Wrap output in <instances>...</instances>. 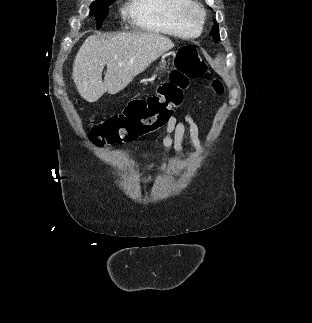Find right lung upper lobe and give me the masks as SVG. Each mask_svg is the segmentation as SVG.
I'll return each mask as SVG.
<instances>
[{
  "label": "right lung upper lobe",
  "instance_id": "cb5924a9",
  "mask_svg": "<svg viewBox=\"0 0 312 323\" xmlns=\"http://www.w3.org/2000/svg\"><path fill=\"white\" fill-rule=\"evenodd\" d=\"M109 1H111V0H97V1H95V2H99V3H106V2H109Z\"/></svg>",
  "mask_w": 312,
  "mask_h": 323
}]
</instances>
